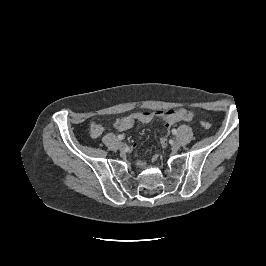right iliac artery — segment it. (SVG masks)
I'll use <instances>...</instances> for the list:
<instances>
[{
	"instance_id": "1",
	"label": "right iliac artery",
	"mask_w": 266,
	"mask_h": 266,
	"mask_svg": "<svg viewBox=\"0 0 266 266\" xmlns=\"http://www.w3.org/2000/svg\"><path fill=\"white\" fill-rule=\"evenodd\" d=\"M124 138H125L124 135H122V134L118 135V139H119V140H123Z\"/></svg>"
}]
</instances>
